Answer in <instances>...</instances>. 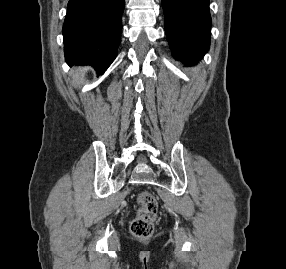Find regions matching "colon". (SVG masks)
Segmentation results:
<instances>
[{
	"label": "colon",
	"mask_w": 286,
	"mask_h": 269,
	"mask_svg": "<svg viewBox=\"0 0 286 269\" xmlns=\"http://www.w3.org/2000/svg\"><path fill=\"white\" fill-rule=\"evenodd\" d=\"M157 211V199L148 191L141 192L138 196L137 213L130 224L135 237L149 238L153 234Z\"/></svg>",
	"instance_id": "obj_1"
}]
</instances>
